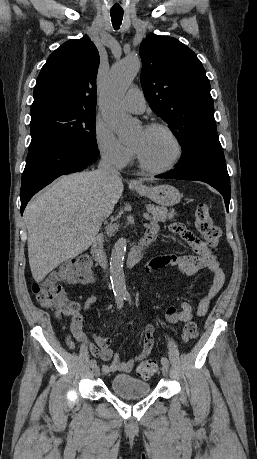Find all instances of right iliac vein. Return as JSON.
I'll use <instances>...</instances> for the list:
<instances>
[{"mask_svg": "<svg viewBox=\"0 0 257 459\" xmlns=\"http://www.w3.org/2000/svg\"><path fill=\"white\" fill-rule=\"evenodd\" d=\"M94 376L98 377L100 375V368L98 366L93 367Z\"/></svg>", "mask_w": 257, "mask_h": 459, "instance_id": "right-iliac-vein-1", "label": "right iliac vein"}]
</instances>
